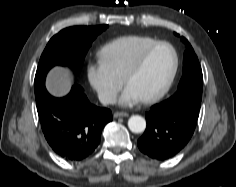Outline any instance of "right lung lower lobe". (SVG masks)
Wrapping results in <instances>:
<instances>
[{
  "label": "right lung lower lobe",
  "instance_id": "98d812e1",
  "mask_svg": "<svg viewBox=\"0 0 236 187\" xmlns=\"http://www.w3.org/2000/svg\"><path fill=\"white\" fill-rule=\"evenodd\" d=\"M35 98L47 142L68 161L90 156L100 143L103 127L112 120L111 111L92 105L78 84L63 98L51 96L45 87Z\"/></svg>",
  "mask_w": 236,
  "mask_h": 187
}]
</instances>
